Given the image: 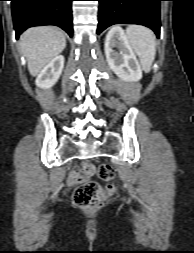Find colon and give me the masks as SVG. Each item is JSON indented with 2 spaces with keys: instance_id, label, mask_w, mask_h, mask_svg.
<instances>
[{
  "instance_id": "5ec220e1",
  "label": "colon",
  "mask_w": 194,
  "mask_h": 253,
  "mask_svg": "<svg viewBox=\"0 0 194 253\" xmlns=\"http://www.w3.org/2000/svg\"><path fill=\"white\" fill-rule=\"evenodd\" d=\"M97 173L102 180L109 181L115 177L113 168L109 165L102 164L98 168L85 163L83 164V176L91 177ZM114 186L112 184L102 188L97 183L89 182L78 186L72 195L74 204L82 209L94 210L100 208L107 198L113 193Z\"/></svg>"
}]
</instances>
